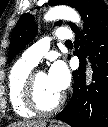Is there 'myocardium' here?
I'll return each mask as SVG.
<instances>
[{"instance_id":"myocardium-1","label":"myocardium","mask_w":108,"mask_h":127,"mask_svg":"<svg viewBox=\"0 0 108 127\" xmlns=\"http://www.w3.org/2000/svg\"><path fill=\"white\" fill-rule=\"evenodd\" d=\"M39 73H44L42 70L31 71L27 77L24 86V101L26 106L36 114H51L60 109L64 103V96L60 95L57 101L50 107H43L37 98L36 93V78Z\"/></svg>"}]
</instances>
